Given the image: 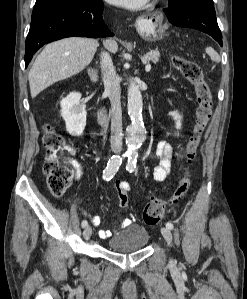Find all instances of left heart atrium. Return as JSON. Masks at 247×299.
I'll return each mask as SVG.
<instances>
[{
    "label": "left heart atrium",
    "instance_id": "39dd6f15",
    "mask_svg": "<svg viewBox=\"0 0 247 299\" xmlns=\"http://www.w3.org/2000/svg\"><path fill=\"white\" fill-rule=\"evenodd\" d=\"M109 3L126 8L141 7L147 0H106Z\"/></svg>",
    "mask_w": 247,
    "mask_h": 299
}]
</instances>
